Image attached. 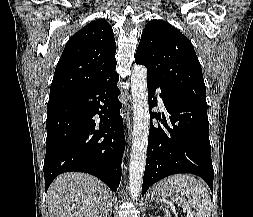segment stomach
I'll return each mask as SVG.
<instances>
[{"label":"stomach","instance_id":"obj_1","mask_svg":"<svg viewBox=\"0 0 253 217\" xmlns=\"http://www.w3.org/2000/svg\"><path fill=\"white\" fill-rule=\"evenodd\" d=\"M152 197L159 199L170 198L178 205H182L180 203V199L185 200L186 204L188 202L187 199L183 197V194H181V196L179 195L178 189L175 186L171 185L167 179L160 181L154 186Z\"/></svg>","mask_w":253,"mask_h":217}]
</instances>
